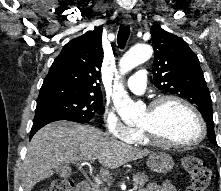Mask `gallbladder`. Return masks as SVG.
Here are the masks:
<instances>
[{"mask_svg":"<svg viewBox=\"0 0 221 191\" xmlns=\"http://www.w3.org/2000/svg\"><path fill=\"white\" fill-rule=\"evenodd\" d=\"M55 172L65 177L71 174V169L67 165H62L55 169Z\"/></svg>","mask_w":221,"mask_h":191,"instance_id":"gallbladder-1","label":"gallbladder"}]
</instances>
